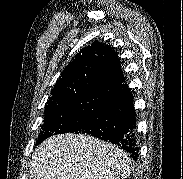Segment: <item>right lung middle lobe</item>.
Listing matches in <instances>:
<instances>
[{"mask_svg":"<svg viewBox=\"0 0 183 179\" xmlns=\"http://www.w3.org/2000/svg\"><path fill=\"white\" fill-rule=\"evenodd\" d=\"M104 103L105 96L90 95L46 106L44 125L37 144L53 135L76 133L81 130L88 122L98 116Z\"/></svg>","mask_w":183,"mask_h":179,"instance_id":"right-lung-middle-lobe-1","label":"right lung middle lobe"}]
</instances>
